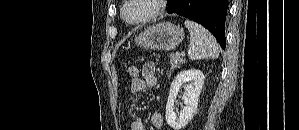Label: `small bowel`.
<instances>
[{"mask_svg": "<svg viewBox=\"0 0 299 130\" xmlns=\"http://www.w3.org/2000/svg\"><path fill=\"white\" fill-rule=\"evenodd\" d=\"M157 84L156 67L153 62H146L141 68V75L137 81L131 82L130 92L137 96L148 88H153ZM164 123L163 116L160 113H154L151 116V124L155 129L162 128ZM131 130H147L144 122L133 117L131 121Z\"/></svg>", "mask_w": 299, "mask_h": 130, "instance_id": "1", "label": "small bowel"}]
</instances>
